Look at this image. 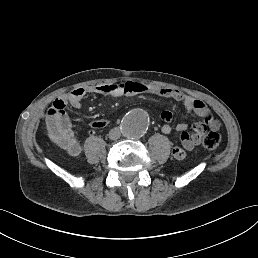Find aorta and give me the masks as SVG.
<instances>
[{
  "label": "aorta",
  "mask_w": 258,
  "mask_h": 258,
  "mask_svg": "<svg viewBox=\"0 0 258 258\" xmlns=\"http://www.w3.org/2000/svg\"><path fill=\"white\" fill-rule=\"evenodd\" d=\"M149 115L143 109H134L121 122L122 134L129 139L140 138L148 129Z\"/></svg>",
  "instance_id": "762f6f07"
}]
</instances>
